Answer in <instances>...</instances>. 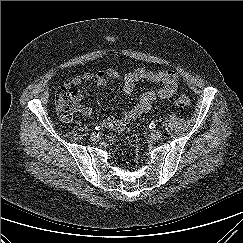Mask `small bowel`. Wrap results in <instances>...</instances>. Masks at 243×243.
<instances>
[{"label": "small bowel", "mask_w": 243, "mask_h": 243, "mask_svg": "<svg viewBox=\"0 0 243 243\" xmlns=\"http://www.w3.org/2000/svg\"><path fill=\"white\" fill-rule=\"evenodd\" d=\"M108 79L121 80L123 90L127 94H131L136 84L143 80L162 85L157 91H145L142 93L137 103L119 116L110 115L106 117L103 120V124L114 130L122 129L141 114L148 112L157 99H168L173 96L178 89V75L175 71H152L144 67H139L125 73H121L115 68L97 72H85L66 81L65 86L71 88L89 81H94L98 86H105ZM74 96L77 101V111L84 116L91 115L92 109L87 105L81 104L83 95L76 91L74 92Z\"/></svg>", "instance_id": "obj_1"}]
</instances>
